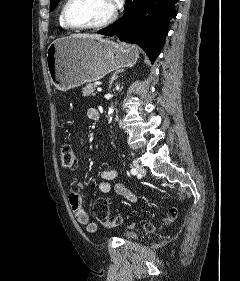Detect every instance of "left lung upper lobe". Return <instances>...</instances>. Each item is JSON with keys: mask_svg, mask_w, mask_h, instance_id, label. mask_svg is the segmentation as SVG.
I'll list each match as a JSON object with an SVG mask.
<instances>
[{"mask_svg": "<svg viewBox=\"0 0 240 281\" xmlns=\"http://www.w3.org/2000/svg\"><path fill=\"white\" fill-rule=\"evenodd\" d=\"M58 2H59V0L50 1V11H52L55 8V6L57 5Z\"/></svg>", "mask_w": 240, "mask_h": 281, "instance_id": "1", "label": "left lung upper lobe"}]
</instances>
